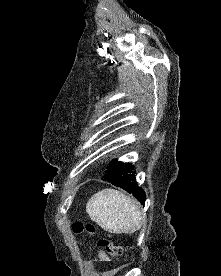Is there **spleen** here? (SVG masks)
Masks as SVG:
<instances>
[{"label":"spleen","instance_id":"3e777b00","mask_svg":"<svg viewBox=\"0 0 221 276\" xmlns=\"http://www.w3.org/2000/svg\"><path fill=\"white\" fill-rule=\"evenodd\" d=\"M90 219L105 231L132 234L142 226V216L135 200L107 188L95 193L86 204Z\"/></svg>","mask_w":221,"mask_h":276}]
</instances>
